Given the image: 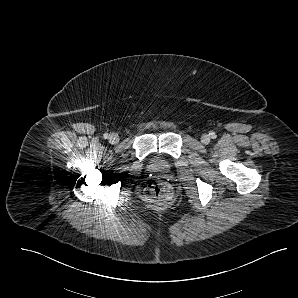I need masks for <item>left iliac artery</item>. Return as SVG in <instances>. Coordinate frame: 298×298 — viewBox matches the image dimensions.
<instances>
[{
	"label": "left iliac artery",
	"mask_w": 298,
	"mask_h": 298,
	"mask_svg": "<svg viewBox=\"0 0 298 298\" xmlns=\"http://www.w3.org/2000/svg\"><path fill=\"white\" fill-rule=\"evenodd\" d=\"M209 135H210L211 138H215L216 137V135H215L214 132H210Z\"/></svg>",
	"instance_id": "44dca946"
}]
</instances>
